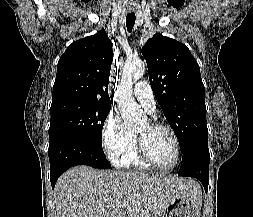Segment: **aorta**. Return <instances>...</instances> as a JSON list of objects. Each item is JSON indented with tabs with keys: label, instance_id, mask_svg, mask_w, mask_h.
<instances>
[{
	"label": "aorta",
	"instance_id": "1",
	"mask_svg": "<svg viewBox=\"0 0 253 217\" xmlns=\"http://www.w3.org/2000/svg\"><path fill=\"white\" fill-rule=\"evenodd\" d=\"M145 72V64L140 61L127 62L124 65L121 81L116 91V101L124 120V125L134 127L141 125L146 116L133 97V84Z\"/></svg>",
	"mask_w": 253,
	"mask_h": 217
}]
</instances>
